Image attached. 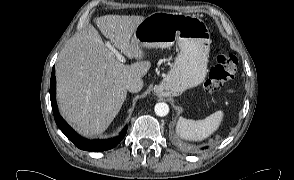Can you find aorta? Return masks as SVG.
<instances>
[{
	"label": "aorta",
	"mask_w": 294,
	"mask_h": 180,
	"mask_svg": "<svg viewBox=\"0 0 294 180\" xmlns=\"http://www.w3.org/2000/svg\"><path fill=\"white\" fill-rule=\"evenodd\" d=\"M155 114L160 117H164L169 113V106L167 103L160 102L155 105Z\"/></svg>",
	"instance_id": "762f6f07"
}]
</instances>
